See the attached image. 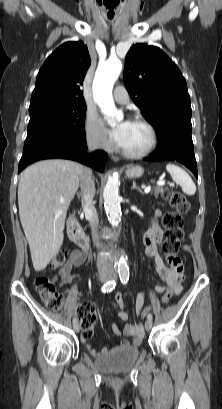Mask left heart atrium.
Listing matches in <instances>:
<instances>
[{"label": "left heart atrium", "instance_id": "39dd6f15", "mask_svg": "<svg viewBox=\"0 0 222 409\" xmlns=\"http://www.w3.org/2000/svg\"><path fill=\"white\" fill-rule=\"evenodd\" d=\"M128 122H123L122 125L117 126L115 128H113L112 130H110V135L111 138L115 141V143H117L118 145L121 143L122 138H123V134H124V129L126 127Z\"/></svg>", "mask_w": 222, "mask_h": 409}]
</instances>
